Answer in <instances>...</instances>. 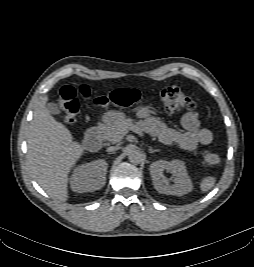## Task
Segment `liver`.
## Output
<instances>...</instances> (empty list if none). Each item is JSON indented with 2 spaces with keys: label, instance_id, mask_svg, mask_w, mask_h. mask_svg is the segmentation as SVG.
Returning <instances> with one entry per match:
<instances>
[{
  "label": "liver",
  "instance_id": "liver-1",
  "mask_svg": "<svg viewBox=\"0 0 254 267\" xmlns=\"http://www.w3.org/2000/svg\"><path fill=\"white\" fill-rule=\"evenodd\" d=\"M41 98L27 135V162L37 183L53 199L68 200V174L85 147L73 141L70 131L51 116Z\"/></svg>",
  "mask_w": 254,
  "mask_h": 267
}]
</instances>
